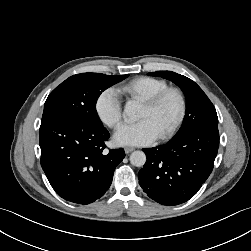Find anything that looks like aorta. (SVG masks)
Here are the masks:
<instances>
[{"label": "aorta", "mask_w": 251, "mask_h": 251, "mask_svg": "<svg viewBox=\"0 0 251 251\" xmlns=\"http://www.w3.org/2000/svg\"><path fill=\"white\" fill-rule=\"evenodd\" d=\"M138 105L134 101H128L124 108V113L129 117H135ZM130 162L136 167H141L146 162V155L143 151H134L130 155Z\"/></svg>", "instance_id": "obj_1"}]
</instances>
